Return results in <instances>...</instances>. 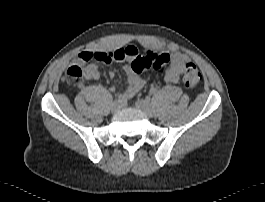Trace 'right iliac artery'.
I'll use <instances>...</instances> for the list:
<instances>
[{
	"mask_svg": "<svg viewBox=\"0 0 265 202\" xmlns=\"http://www.w3.org/2000/svg\"><path fill=\"white\" fill-rule=\"evenodd\" d=\"M116 101H117L118 103H122V102L124 101V98L120 95V96L116 99Z\"/></svg>",
	"mask_w": 265,
	"mask_h": 202,
	"instance_id": "1",
	"label": "right iliac artery"
}]
</instances>
